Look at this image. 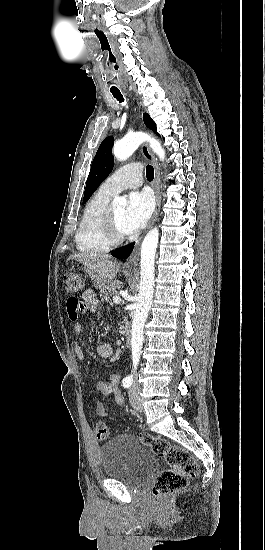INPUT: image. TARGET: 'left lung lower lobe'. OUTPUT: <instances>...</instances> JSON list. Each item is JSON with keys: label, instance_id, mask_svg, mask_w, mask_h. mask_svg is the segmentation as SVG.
<instances>
[{"label": "left lung lower lobe", "instance_id": "left-lung-lower-lobe-1", "mask_svg": "<svg viewBox=\"0 0 265 550\" xmlns=\"http://www.w3.org/2000/svg\"><path fill=\"white\" fill-rule=\"evenodd\" d=\"M133 246H134V243H131L127 246L118 248L112 253V256L120 258V259H126L130 255V253L133 249Z\"/></svg>", "mask_w": 265, "mask_h": 550}]
</instances>
